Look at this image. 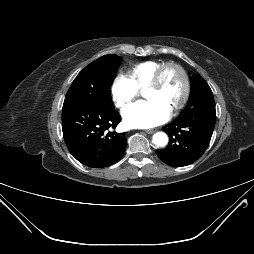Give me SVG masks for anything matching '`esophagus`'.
<instances>
[{
    "mask_svg": "<svg viewBox=\"0 0 254 254\" xmlns=\"http://www.w3.org/2000/svg\"><path fill=\"white\" fill-rule=\"evenodd\" d=\"M156 130L155 129H148V130H145V132L147 133V134H152V133H154Z\"/></svg>",
    "mask_w": 254,
    "mask_h": 254,
    "instance_id": "34e87169",
    "label": "esophagus"
}]
</instances>
